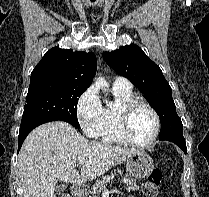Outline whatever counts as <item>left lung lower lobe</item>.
I'll use <instances>...</instances> for the list:
<instances>
[{
    "mask_svg": "<svg viewBox=\"0 0 209 197\" xmlns=\"http://www.w3.org/2000/svg\"><path fill=\"white\" fill-rule=\"evenodd\" d=\"M159 140H166L173 142L176 145H178L184 151V153L187 152V147H186L185 139L183 137V133H172L169 135H165L160 137Z\"/></svg>",
    "mask_w": 209,
    "mask_h": 197,
    "instance_id": "0a47b994",
    "label": "left lung lower lobe"
}]
</instances>
